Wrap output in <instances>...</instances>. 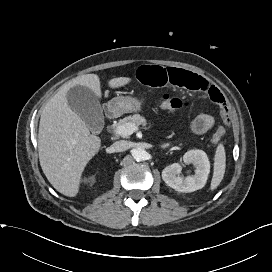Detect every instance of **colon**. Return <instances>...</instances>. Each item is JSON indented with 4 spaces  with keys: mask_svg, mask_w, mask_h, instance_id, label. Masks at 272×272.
<instances>
[{
    "mask_svg": "<svg viewBox=\"0 0 272 272\" xmlns=\"http://www.w3.org/2000/svg\"><path fill=\"white\" fill-rule=\"evenodd\" d=\"M187 103L183 100L172 97L168 94H165L159 101H158V107L164 111L173 112L176 111L184 106H186ZM225 136V130L223 127H218L215 131V133L212 136L213 142H219L223 139Z\"/></svg>",
    "mask_w": 272,
    "mask_h": 272,
    "instance_id": "1",
    "label": "colon"
}]
</instances>
